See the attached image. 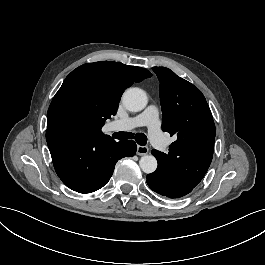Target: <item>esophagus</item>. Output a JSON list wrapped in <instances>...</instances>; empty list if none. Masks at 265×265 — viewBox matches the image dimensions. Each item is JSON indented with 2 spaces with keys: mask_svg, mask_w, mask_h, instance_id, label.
Returning a JSON list of instances; mask_svg holds the SVG:
<instances>
[{
  "mask_svg": "<svg viewBox=\"0 0 265 265\" xmlns=\"http://www.w3.org/2000/svg\"><path fill=\"white\" fill-rule=\"evenodd\" d=\"M148 152L149 148L147 146H140V145L137 146V151H136L137 155L142 156L148 154Z\"/></svg>",
  "mask_w": 265,
  "mask_h": 265,
  "instance_id": "34e87169",
  "label": "esophagus"
}]
</instances>
